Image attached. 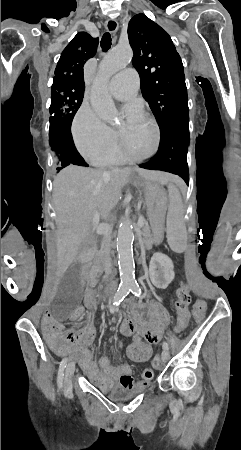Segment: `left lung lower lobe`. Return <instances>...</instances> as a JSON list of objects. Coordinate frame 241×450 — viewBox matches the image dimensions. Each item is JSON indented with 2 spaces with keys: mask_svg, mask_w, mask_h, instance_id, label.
I'll return each mask as SVG.
<instances>
[{
  "mask_svg": "<svg viewBox=\"0 0 241 450\" xmlns=\"http://www.w3.org/2000/svg\"><path fill=\"white\" fill-rule=\"evenodd\" d=\"M189 113L180 112L160 128L161 140L157 154L141 168L162 170L177 174L189 184L187 164V137L189 135Z\"/></svg>",
  "mask_w": 241,
  "mask_h": 450,
  "instance_id": "left-lung-lower-lobe-1",
  "label": "left lung lower lobe"
}]
</instances>
